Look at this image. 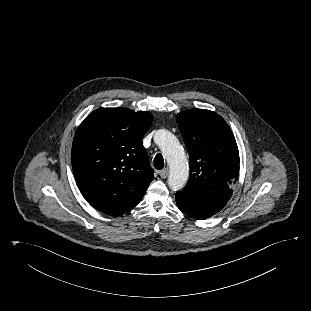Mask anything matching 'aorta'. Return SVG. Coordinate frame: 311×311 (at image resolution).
<instances>
[{"instance_id": "762f6f07", "label": "aorta", "mask_w": 311, "mask_h": 311, "mask_svg": "<svg viewBox=\"0 0 311 311\" xmlns=\"http://www.w3.org/2000/svg\"><path fill=\"white\" fill-rule=\"evenodd\" d=\"M154 141L165 155L170 168L169 187L174 191L181 190L189 177V167L183 147L176 136L165 129L155 133Z\"/></svg>"}]
</instances>
